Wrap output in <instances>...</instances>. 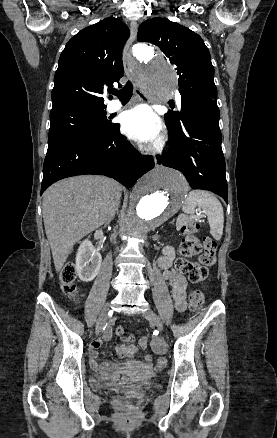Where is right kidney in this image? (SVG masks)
Wrapping results in <instances>:
<instances>
[{"label":"right kidney","instance_id":"ca27d5eb","mask_svg":"<svg viewBox=\"0 0 277 438\" xmlns=\"http://www.w3.org/2000/svg\"><path fill=\"white\" fill-rule=\"evenodd\" d=\"M102 256L89 240H83L76 254V274L82 282H92L101 268Z\"/></svg>","mask_w":277,"mask_h":438}]
</instances>
